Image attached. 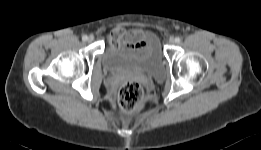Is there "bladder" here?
<instances>
[{"instance_id": "31cf9c89", "label": "bladder", "mask_w": 261, "mask_h": 150, "mask_svg": "<svg viewBox=\"0 0 261 150\" xmlns=\"http://www.w3.org/2000/svg\"><path fill=\"white\" fill-rule=\"evenodd\" d=\"M132 43L114 42L107 46L102 53V65L107 71L135 70L155 78L164 74V56L157 36L146 29L132 32ZM141 42V46H133Z\"/></svg>"}]
</instances>
